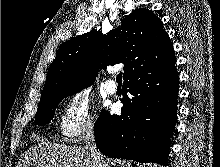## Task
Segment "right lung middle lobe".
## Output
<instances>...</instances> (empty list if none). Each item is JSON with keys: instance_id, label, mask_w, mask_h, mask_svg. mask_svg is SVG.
I'll return each instance as SVG.
<instances>
[{"instance_id": "1", "label": "right lung middle lobe", "mask_w": 220, "mask_h": 167, "mask_svg": "<svg viewBox=\"0 0 220 167\" xmlns=\"http://www.w3.org/2000/svg\"><path fill=\"white\" fill-rule=\"evenodd\" d=\"M83 88L65 89L55 93L54 95L40 101L35 117V123L45 125L54 117L55 109L58 103L66 96L75 94Z\"/></svg>"}]
</instances>
